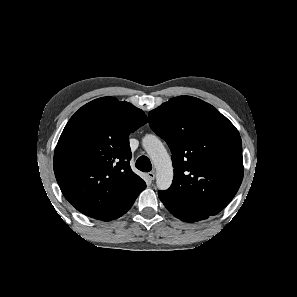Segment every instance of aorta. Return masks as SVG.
<instances>
[{
  "label": "aorta",
  "instance_id": "aorta-1",
  "mask_svg": "<svg viewBox=\"0 0 297 297\" xmlns=\"http://www.w3.org/2000/svg\"><path fill=\"white\" fill-rule=\"evenodd\" d=\"M142 145L156 168V184L160 190H166L173 180L171 158L162 142L152 134L142 139Z\"/></svg>",
  "mask_w": 297,
  "mask_h": 297
}]
</instances>
